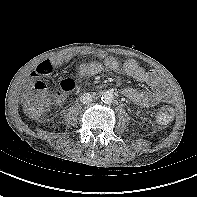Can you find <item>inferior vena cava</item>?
<instances>
[{
	"mask_svg": "<svg viewBox=\"0 0 197 197\" xmlns=\"http://www.w3.org/2000/svg\"><path fill=\"white\" fill-rule=\"evenodd\" d=\"M80 101L83 104H89L92 102V96L89 93H84L80 96Z\"/></svg>",
	"mask_w": 197,
	"mask_h": 197,
	"instance_id": "602c4592",
	"label": "inferior vena cava"
}]
</instances>
